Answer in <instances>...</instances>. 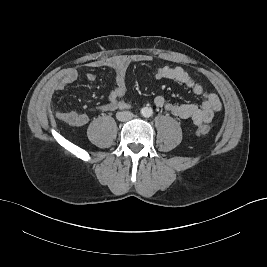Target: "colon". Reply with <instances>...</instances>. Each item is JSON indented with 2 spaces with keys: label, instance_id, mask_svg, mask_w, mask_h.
Here are the masks:
<instances>
[{
  "label": "colon",
  "instance_id": "obj_1",
  "mask_svg": "<svg viewBox=\"0 0 267 267\" xmlns=\"http://www.w3.org/2000/svg\"><path fill=\"white\" fill-rule=\"evenodd\" d=\"M210 133V128L209 127H206V126H200L198 129H197V134L199 135H207Z\"/></svg>",
  "mask_w": 267,
  "mask_h": 267
}]
</instances>
